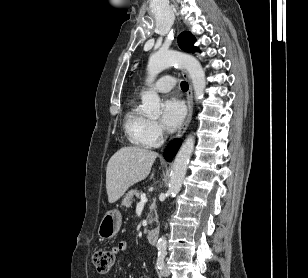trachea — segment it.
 Segmentation results:
<instances>
[{"label":"trachea","mask_w":308,"mask_h":278,"mask_svg":"<svg viewBox=\"0 0 308 278\" xmlns=\"http://www.w3.org/2000/svg\"><path fill=\"white\" fill-rule=\"evenodd\" d=\"M188 88H189L188 83L185 82V81H182V82H181V89H182L183 91H187Z\"/></svg>","instance_id":"trachea-1"}]
</instances>
